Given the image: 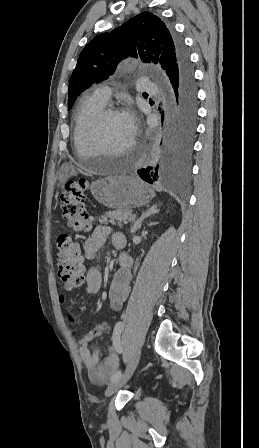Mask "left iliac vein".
I'll return each mask as SVG.
<instances>
[{
	"label": "left iliac vein",
	"mask_w": 259,
	"mask_h": 448,
	"mask_svg": "<svg viewBox=\"0 0 259 448\" xmlns=\"http://www.w3.org/2000/svg\"><path fill=\"white\" fill-rule=\"evenodd\" d=\"M140 356H141V349L138 348L133 354L132 358L130 359L123 375H121L118 379L110 383L105 393L106 396H111L112 394L117 392L130 379L139 363Z\"/></svg>",
	"instance_id": "obj_1"
}]
</instances>
